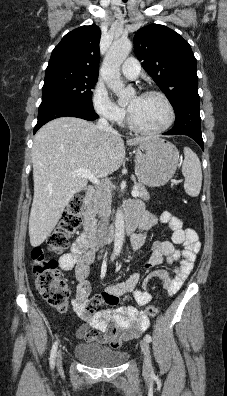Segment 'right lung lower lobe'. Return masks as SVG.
<instances>
[{
	"mask_svg": "<svg viewBox=\"0 0 227 396\" xmlns=\"http://www.w3.org/2000/svg\"><path fill=\"white\" fill-rule=\"evenodd\" d=\"M65 116L78 117L89 121L98 118V115L94 110L86 109L79 104L68 100H53L40 104L38 110V121L34 127V134L45 123Z\"/></svg>",
	"mask_w": 227,
	"mask_h": 396,
	"instance_id": "98d812e1",
	"label": "right lung lower lobe"
}]
</instances>
